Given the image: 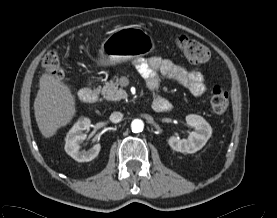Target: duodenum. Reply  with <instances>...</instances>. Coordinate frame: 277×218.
Wrapping results in <instances>:
<instances>
[{
  "label": "duodenum",
  "instance_id": "obj_1",
  "mask_svg": "<svg viewBox=\"0 0 277 218\" xmlns=\"http://www.w3.org/2000/svg\"><path fill=\"white\" fill-rule=\"evenodd\" d=\"M98 94V89L96 87H94L92 84H90L89 86L82 88L79 93V99L84 102V103H90L92 101H94V99L96 98ZM170 103L169 101L162 99L159 105V110L166 112L170 109Z\"/></svg>",
  "mask_w": 277,
  "mask_h": 218
}]
</instances>
